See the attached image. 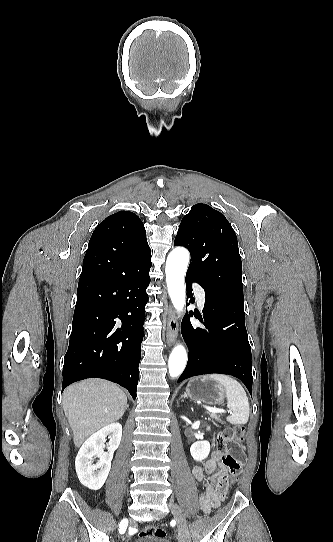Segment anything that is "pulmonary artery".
<instances>
[{"instance_id": "obj_1", "label": "pulmonary artery", "mask_w": 333, "mask_h": 542, "mask_svg": "<svg viewBox=\"0 0 333 542\" xmlns=\"http://www.w3.org/2000/svg\"><path fill=\"white\" fill-rule=\"evenodd\" d=\"M194 287H195V288H194V291H193V292H194V295H195V296H198V298H197V303H198L199 307H202L203 304H204V299H203V297H199V296H202V295H203V292H204V291H203V288H202V287H199L197 284H196Z\"/></svg>"}]
</instances>
